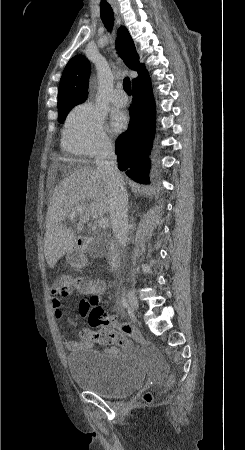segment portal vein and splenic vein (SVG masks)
Instances as JSON below:
<instances>
[{"instance_id":"portal-vein-and-splenic-vein-1","label":"portal vein and splenic vein","mask_w":245,"mask_h":450,"mask_svg":"<svg viewBox=\"0 0 245 450\" xmlns=\"http://www.w3.org/2000/svg\"><path fill=\"white\" fill-rule=\"evenodd\" d=\"M85 211H87V207H86V206H84V205L76 206V207L74 208V210L71 212V214L69 215L68 218H69L70 220H73L74 217L76 216V214H78V213H83V212H85ZM98 224H99V226H100L101 228H106V227L108 226V224H109V221H108V219H106V218H101V219L98 221Z\"/></svg>"}]
</instances>
